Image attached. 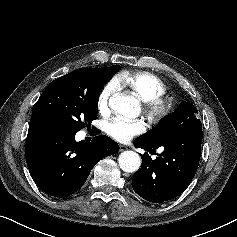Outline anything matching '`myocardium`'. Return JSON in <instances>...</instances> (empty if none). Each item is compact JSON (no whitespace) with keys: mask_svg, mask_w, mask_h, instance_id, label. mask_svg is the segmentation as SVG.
I'll use <instances>...</instances> for the list:
<instances>
[{"mask_svg":"<svg viewBox=\"0 0 237 237\" xmlns=\"http://www.w3.org/2000/svg\"><path fill=\"white\" fill-rule=\"evenodd\" d=\"M144 110L152 121L159 122L172 113L174 102L163 95L156 96L144 102Z\"/></svg>","mask_w":237,"mask_h":237,"instance_id":"myocardium-1","label":"myocardium"}]
</instances>
